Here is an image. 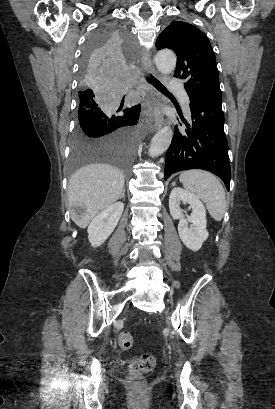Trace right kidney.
<instances>
[{"label": "right kidney", "instance_id": "ca27d5eb", "mask_svg": "<svg viewBox=\"0 0 275 409\" xmlns=\"http://www.w3.org/2000/svg\"><path fill=\"white\" fill-rule=\"evenodd\" d=\"M123 211V202H119L118 200V202H114V205H110V207L101 211V213L91 221L87 233L89 243H91L92 247H100L102 243H105L106 239L110 237L115 227H117Z\"/></svg>", "mask_w": 275, "mask_h": 409}]
</instances>
